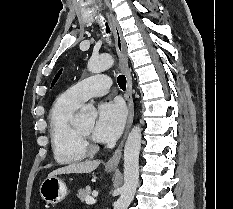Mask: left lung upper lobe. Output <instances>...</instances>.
<instances>
[{"instance_id":"5c2ea615","label":"left lung upper lobe","mask_w":233,"mask_h":209,"mask_svg":"<svg viewBox=\"0 0 233 209\" xmlns=\"http://www.w3.org/2000/svg\"><path fill=\"white\" fill-rule=\"evenodd\" d=\"M61 72H62V70H60V71L56 74V76L54 77V80H53V82H52V85H51V86H53V85H54V83L57 81V79L59 78V76H60Z\"/></svg>"}]
</instances>
